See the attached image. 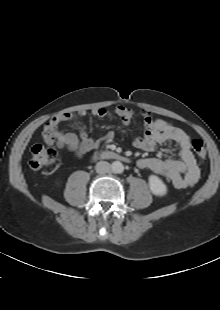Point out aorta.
Segmentation results:
<instances>
[{"mask_svg":"<svg viewBox=\"0 0 220 310\" xmlns=\"http://www.w3.org/2000/svg\"><path fill=\"white\" fill-rule=\"evenodd\" d=\"M111 170L113 173H121L123 171V165L120 161H115L111 165Z\"/></svg>","mask_w":220,"mask_h":310,"instance_id":"obj_1","label":"aorta"}]
</instances>
